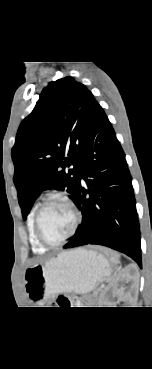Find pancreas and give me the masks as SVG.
Listing matches in <instances>:
<instances>
[{
	"mask_svg": "<svg viewBox=\"0 0 152 369\" xmlns=\"http://www.w3.org/2000/svg\"><path fill=\"white\" fill-rule=\"evenodd\" d=\"M99 294H100V291L99 290L94 291L93 294L91 295V298L88 299L87 304L88 305H95L98 302H100V296H99Z\"/></svg>",
	"mask_w": 152,
	"mask_h": 369,
	"instance_id": "pancreas-1",
	"label": "pancreas"
}]
</instances>
